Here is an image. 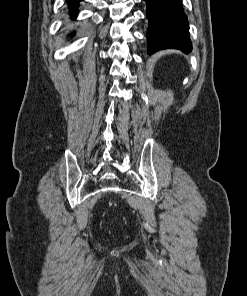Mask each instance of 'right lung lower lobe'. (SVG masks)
Returning <instances> with one entry per match:
<instances>
[{"label": "right lung lower lobe", "mask_w": 247, "mask_h": 296, "mask_svg": "<svg viewBox=\"0 0 247 296\" xmlns=\"http://www.w3.org/2000/svg\"><path fill=\"white\" fill-rule=\"evenodd\" d=\"M68 5L71 6L73 5L74 6V9H70V14H71V17L72 18H76L77 16V10L75 9V7H77L78 3L81 1V0H66Z\"/></svg>", "instance_id": "1"}]
</instances>
